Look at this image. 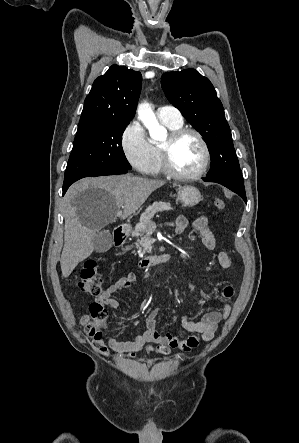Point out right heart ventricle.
I'll return each mask as SVG.
<instances>
[{"label": "right heart ventricle", "instance_id": "e07e8e85", "mask_svg": "<svg viewBox=\"0 0 299 443\" xmlns=\"http://www.w3.org/2000/svg\"><path fill=\"white\" fill-rule=\"evenodd\" d=\"M163 124L169 130H176L183 126L182 123H173L170 121L162 120ZM150 151H151V165L147 173L152 175H158L163 172L162 164H161V155H160V144L151 142L150 143Z\"/></svg>", "mask_w": 299, "mask_h": 443}]
</instances>
